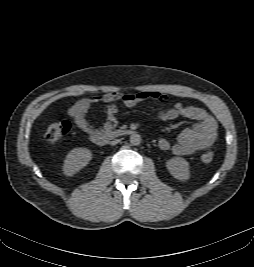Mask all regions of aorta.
I'll return each instance as SVG.
<instances>
[{"label":"aorta","instance_id":"1","mask_svg":"<svg viewBox=\"0 0 254 267\" xmlns=\"http://www.w3.org/2000/svg\"><path fill=\"white\" fill-rule=\"evenodd\" d=\"M141 140L142 139L139 134L134 133L130 136V143L134 146L139 145L141 143Z\"/></svg>","mask_w":254,"mask_h":267}]
</instances>
